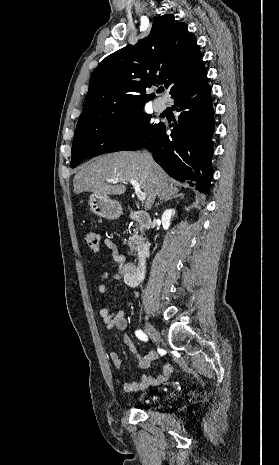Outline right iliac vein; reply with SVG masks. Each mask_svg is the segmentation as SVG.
Masks as SVG:
<instances>
[{"instance_id":"right-iliac-vein-1","label":"right iliac vein","mask_w":279,"mask_h":465,"mask_svg":"<svg viewBox=\"0 0 279 465\" xmlns=\"http://www.w3.org/2000/svg\"><path fill=\"white\" fill-rule=\"evenodd\" d=\"M145 329H146L147 334L153 340H155L156 342L160 341V334L151 323L145 322Z\"/></svg>"}]
</instances>
